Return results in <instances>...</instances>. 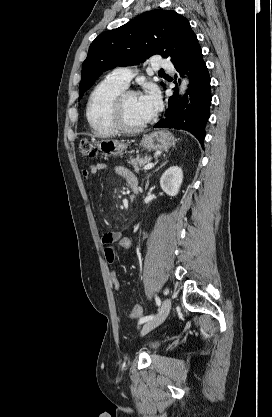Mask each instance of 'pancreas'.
Masks as SVG:
<instances>
[{"mask_svg": "<svg viewBox=\"0 0 272 417\" xmlns=\"http://www.w3.org/2000/svg\"><path fill=\"white\" fill-rule=\"evenodd\" d=\"M150 161V157L141 156V157H130L128 164L134 168L135 172H139L142 166L147 164Z\"/></svg>", "mask_w": 272, "mask_h": 417, "instance_id": "pancreas-1", "label": "pancreas"}]
</instances>
